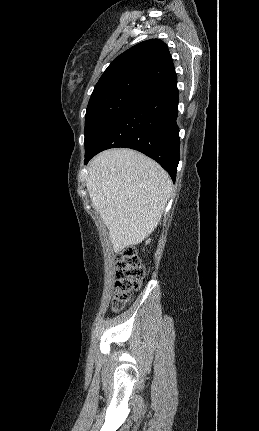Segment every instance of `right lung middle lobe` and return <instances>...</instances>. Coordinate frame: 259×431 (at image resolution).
Returning a JSON list of instances; mask_svg holds the SVG:
<instances>
[{
  "instance_id": "dd1d6c3e",
  "label": "right lung middle lobe",
  "mask_w": 259,
  "mask_h": 431,
  "mask_svg": "<svg viewBox=\"0 0 259 431\" xmlns=\"http://www.w3.org/2000/svg\"><path fill=\"white\" fill-rule=\"evenodd\" d=\"M149 90L141 82L129 81L92 93L85 115V153L128 107Z\"/></svg>"
}]
</instances>
